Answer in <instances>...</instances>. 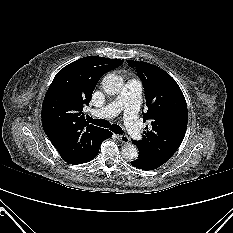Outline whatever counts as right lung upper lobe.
I'll use <instances>...</instances> for the list:
<instances>
[{
  "mask_svg": "<svg viewBox=\"0 0 233 233\" xmlns=\"http://www.w3.org/2000/svg\"><path fill=\"white\" fill-rule=\"evenodd\" d=\"M123 62L88 56L65 66L54 77L42 104V125L65 162H77L99 141L104 129L86 122L82 111L99 79Z\"/></svg>",
  "mask_w": 233,
  "mask_h": 233,
  "instance_id": "cb5924a9",
  "label": "right lung upper lobe"
}]
</instances>
